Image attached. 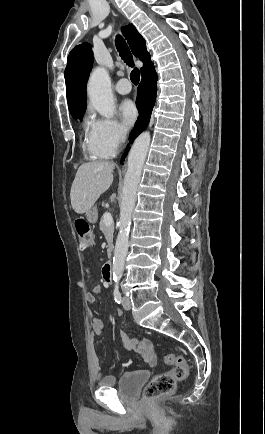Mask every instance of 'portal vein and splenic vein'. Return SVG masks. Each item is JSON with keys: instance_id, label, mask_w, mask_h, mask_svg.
Wrapping results in <instances>:
<instances>
[{"instance_id": "18ae733b", "label": "portal vein and splenic vein", "mask_w": 265, "mask_h": 434, "mask_svg": "<svg viewBox=\"0 0 265 434\" xmlns=\"http://www.w3.org/2000/svg\"><path fill=\"white\" fill-rule=\"evenodd\" d=\"M103 222L105 226H111V224H113V218L109 212H105V214H103Z\"/></svg>"}]
</instances>
